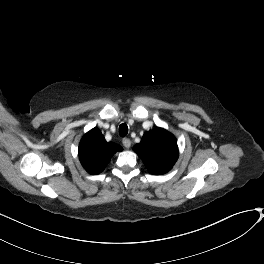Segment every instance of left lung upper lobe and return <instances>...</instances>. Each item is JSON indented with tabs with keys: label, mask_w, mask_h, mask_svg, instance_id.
Listing matches in <instances>:
<instances>
[{
	"label": "left lung upper lobe",
	"mask_w": 264,
	"mask_h": 264,
	"mask_svg": "<svg viewBox=\"0 0 264 264\" xmlns=\"http://www.w3.org/2000/svg\"><path fill=\"white\" fill-rule=\"evenodd\" d=\"M133 150L153 175L168 172L178 159L176 138L163 128H155L145 133Z\"/></svg>",
	"instance_id": "1"
}]
</instances>
